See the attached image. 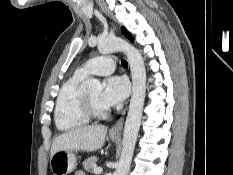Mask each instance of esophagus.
Here are the masks:
<instances>
[{
    "instance_id": "esophagus-1",
    "label": "esophagus",
    "mask_w": 233,
    "mask_h": 175,
    "mask_svg": "<svg viewBox=\"0 0 233 175\" xmlns=\"http://www.w3.org/2000/svg\"><path fill=\"white\" fill-rule=\"evenodd\" d=\"M126 110H127V106L122 111V114H121L120 118L117 120V122L111 127V129L109 131V133L111 135H119L121 133Z\"/></svg>"
}]
</instances>
